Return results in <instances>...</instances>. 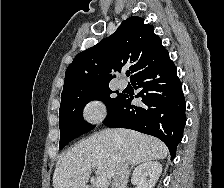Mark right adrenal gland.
I'll return each instance as SVG.
<instances>
[{
    "label": "right adrenal gland",
    "mask_w": 224,
    "mask_h": 188,
    "mask_svg": "<svg viewBox=\"0 0 224 188\" xmlns=\"http://www.w3.org/2000/svg\"><path fill=\"white\" fill-rule=\"evenodd\" d=\"M134 167H135V165H132V166H131V168H130V172H131V170H132Z\"/></svg>",
    "instance_id": "right-adrenal-gland-1"
}]
</instances>
